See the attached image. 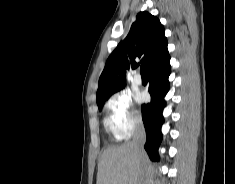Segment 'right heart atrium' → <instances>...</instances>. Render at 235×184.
Returning a JSON list of instances; mask_svg holds the SVG:
<instances>
[{
    "mask_svg": "<svg viewBox=\"0 0 235 184\" xmlns=\"http://www.w3.org/2000/svg\"><path fill=\"white\" fill-rule=\"evenodd\" d=\"M107 129L117 138H129L140 125L137 111L132 107L131 98L124 92H117L104 103Z\"/></svg>",
    "mask_w": 235,
    "mask_h": 184,
    "instance_id": "obj_1",
    "label": "right heart atrium"
}]
</instances>
